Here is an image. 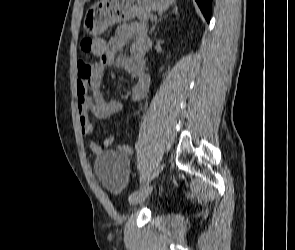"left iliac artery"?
Returning <instances> with one entry per match:
<instances>
[{"label": "left iliac artery", "mask_w": 295, "mask_h": 250, "mask_svg": "<svg viewBox=\"0 0 295 250\" xmlns=\"http://www.w3.org/2000/svg\"><path fill=\"white\" fill-rule=\"evenodd\" d=\"M148 185V184H147ZM146 186H142L140 187V189L134 191L130 196H129V201H132L133 199H135L136 197H138V195L141 193V191L145 188Z\"/></svg>", "instance_id": "left-iliac-artery-1"}]
</instances>
